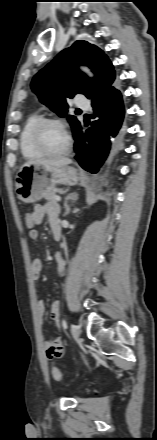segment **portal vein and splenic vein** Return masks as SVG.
Segmentation results:
<instances>
[{
  "label": "portal vein and splenic vein",
  "instance_id": "18ae733b",
  "mask_svg": "<svg viewBox=\"0 0 157 440\" xmlns=\"http://www.w3.org/2000/svg\"><path fill=\"white\" fill-rule=\"evenodd\" d=\"M55 200L58 201V202H60V201H61V197H60V196H56V197H55Z\"/></svg>",
  "mask_w": 157,
  "mask_h": 440
}]
</instances>
